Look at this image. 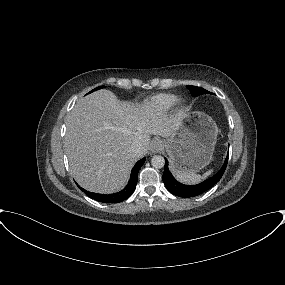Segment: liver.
Here are the masks:
<instances>
[{"instance_id": "obj_1", "label": "liver", "mask_w": 285, "mask_h": 285, "mask_svg": "<svg viewBox=\"0 0 285 285\" xmlns=\"http://www.w3.org/2000/svg\"><path fill=\"white\" fill-rule=\"evenodd\" d=\"M183 113L168 116L149 105L121 102L109 90L79 100L66 121L65 144L71 174L95 193H114L126 185L136 161L147 153L151 135L171 137ZM143 145L140 156L130 147Z\"/></svg>"}]
</instances>
